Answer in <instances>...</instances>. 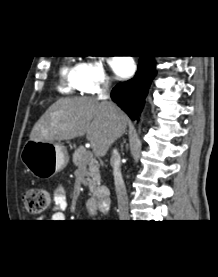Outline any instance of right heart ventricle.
Segmentation results:
<instances>
[{
    "label": "right heart ventricle",
    "instance_id": "right-heart-ventricle-1",
    "mask_svg": "<svg viewBox=\"0 0 218 277\" xmlns=\"http://www.w3.org/2000/svg\"><path fill=\"white\" fill-rule=\"evenodd\" d=\"M78 66L65 63L60 69L59 91L62 94L71 95L79 91L77 84Z\"/></svg>",
    "mask_w": 218,
    "mask_h": 277
}]
</instances>
